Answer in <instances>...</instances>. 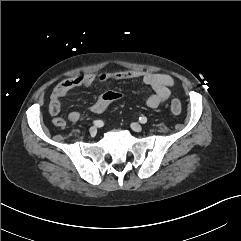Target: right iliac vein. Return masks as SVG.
I'll return each instance as SVG.
<instances>
[{"label":"right iliac vein","instance_id":"63e3f726","mask_svg":"<svg viewBox=\"0 0 241 241\" xmlns=\"http://www.w3.org/2000/svg\"><path fill=\"white\" fill-rule=\"evenodd\" d=\"M89 132L92 136H95L97 133V128L93 126L89 129Z\"/></svg>","mask_w":241,"mask_h":241}]
</instances>
